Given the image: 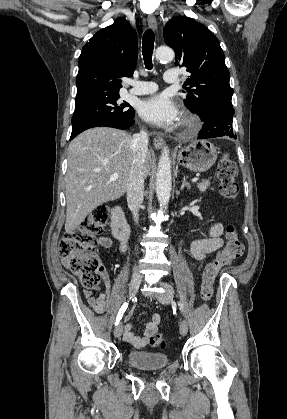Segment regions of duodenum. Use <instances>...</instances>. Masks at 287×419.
<instances>
[{"label": "duodenum", "mask_w": 287, "mask_h": 419, "mask_svg": "<svg viewBox=\"0 0 287 419\" xmlns=\"http://www.w3.org/2000/svg\"><path fill=\"white\" fill-rule=\"evenodd\" d=\"M111 230L113 236L122 246H125L129 238L130 226L120 206H116L112 211Z\"/></svg>", "instance_id": "obj_1"}]
</instances>
